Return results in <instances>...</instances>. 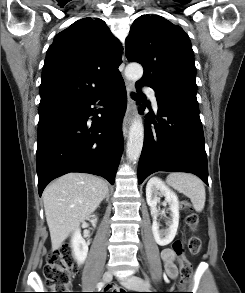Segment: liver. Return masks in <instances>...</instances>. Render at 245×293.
I'll use <instances>...</instances> for the list:
<instances>
[{"instance_id": "1", "label": "liver", "mask_w": 245, "mask_h": 293, "mask_svg": "<svg viewBox=\"0 0 245 293\" xmlns=\"http://www.w3.org/2000/svg\"><path fill=\"white\" fill-rule=\"evenodd\" d=\"M108 191L103 179L84 173L66 174L45 188L44 210L53 251L98 208Z\"/></svg>"}]
</instances>
